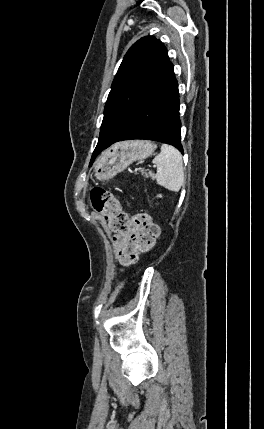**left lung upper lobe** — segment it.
I'll return each instance as SVG.
<instances>
[{
    "label": "left lung upper lobe",
    "mask_w": 264,
    "mask_h": 429,
    "mask_svg": "<svg viewBox=\"0 0 264 429\" xmlns=\"http://www.w3.org/2000/svg\"><path fill=\"white\" fill-rule=\"evenodd\" d=\"M168 63L167 49L153 36L143 37L131 46L113 80L95 151L110 146L123 134Z\"/></svg>",
    "instance_id": "left-lung-upper-lobe-1"
}]
</instances>
